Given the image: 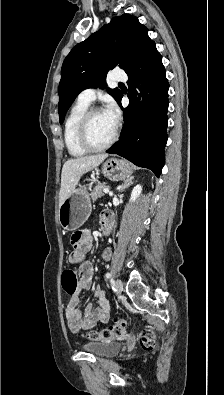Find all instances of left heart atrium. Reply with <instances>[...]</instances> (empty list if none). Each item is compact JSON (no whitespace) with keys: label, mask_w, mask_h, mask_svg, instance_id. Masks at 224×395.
I'll return each mask as SVG.
<instances>
[{"label":"left heart atrium","mask_w":224,"mask_h":395,"mask_svg":"<svg viewBox=\"0 0 224 395\" xmlns=\"http://www.w3.org/2000/svg\"><path fill=\"white\" fill-rule=\"evenodd\" d=\"M103 113L111 122H113L115 125L117 124L119 120V110L114 102L109 101L103 110Z\"/></svg>","instance_id":"obj_1"}]
</instances>
